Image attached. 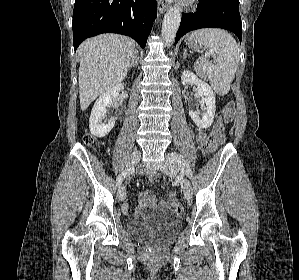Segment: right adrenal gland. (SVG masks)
Segmentation results:
<instances>
[{"label": "right adrenal gland", "instance_id": "1", "mask_svg": "<svg viewBox=\"0 0 299 280\" xmlns=\"http://www.w3.org/2000/svg\"><path fill=\"white\" fill-rule=\"evenodd\" d=\"M138 61H139L138 51L135 50L134 56H133L132 61L129 65V69H131L132 67H135L136 65H138Z\"/></svg>", "mask_w": 299, "mask_h": 280}]
</instances>
